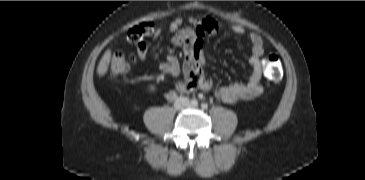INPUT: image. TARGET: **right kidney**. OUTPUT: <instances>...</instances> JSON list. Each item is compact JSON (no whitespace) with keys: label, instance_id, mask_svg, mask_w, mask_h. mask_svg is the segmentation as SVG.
I'll return each mask as SVG.
<instances>
[{"label":"right kidney","instance_id":"right-kidney-1","mask_svg":"<svg viewBox=\"0 0 365 180\" xmlns=\"http://www.w3.org/2000/svg\"><path fill=\"white\" fill-rule=\"evenodd\" d=\"M149 90H150V91H154V90H155V86H154V85H150V86H149Z\"/></svg>","mask_w":365,"mask_h":180}]
</instances>
